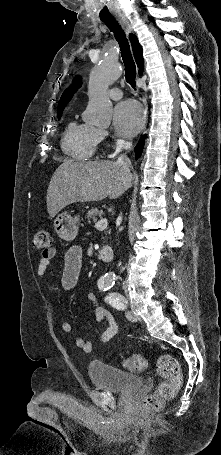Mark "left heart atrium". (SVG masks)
I'll use <instances>...</instances> for the list:
<instances>
[{"label":"left heart atrium","mask_w":221,"mask_h":455,"mask_svg":"<svg viewBox=\"0 0 221 455\" xmlns=\"http://www.w3.org/2000/svg\"><path fill=\"white\" fill-rule=\"evenodd\" d=\"M144 116L141 108L133 101L118 104L113 112V127L122 137H131L142 128Z\"/></svg>","instance_id":"39dd6f15"}]
</instances>
